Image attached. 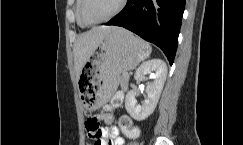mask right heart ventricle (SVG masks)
I'll use <instances>...</instances> for the list:
<instances>
[{"label":"right heart ventricle","instance_id":"1","mask_svg":"<svg viewBox=\"0 0 243 145\" xmlns=\"http://www.w3.org/2000/svg\"><path fill=\"white\" fill-rule=\"evenodd\" d=\"M79 10H80V0H76V21L80 27L84 28L86 27V25L80 19Z\"/></svg>","mask_w":243,"mask_h":145}]
</instances>
